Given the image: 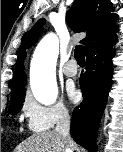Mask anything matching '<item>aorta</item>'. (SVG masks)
<instances>
[{
	"mask_svg": "<svg viewBox=\"0 0 123 152\" xmlns=\"http://www.w3.org/2000/svg\"><path fill=\"white\" fill-rule=\"evenodd\" d=\"M58 53V38L48 34L37 45L31 61L32 93L39 103L46 106L54 104L58 95L55 76Z\"/></svg>",
	"mask_w": 123,
	"mask_h": 152,
	"instance_id": "obj_1",
	"label": "aorta"
}]
</instances>
